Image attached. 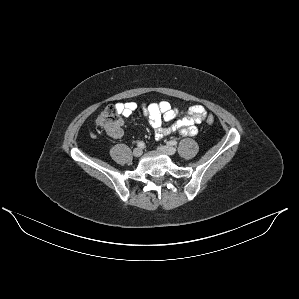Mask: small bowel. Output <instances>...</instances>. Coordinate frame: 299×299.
Returning <instances> with one entry per match:
<instances>
[{
    "label": "small bowel",
    "mask_w": 299,
    "mask_h": 299,
    "mask_svg": "<svg viewBox=\"0 0 299 299\" xmlns=\"http://www.w3.org/2000/svg\"><path fill=\"white\" fill-rule=\"evenodd\" d=\"M114 108L123 117H130L132 114L141 108L144 115L147 117L149 124L153 128L156 139H162L171 133L178 132L183 136H193L197 133L196 125L204 121L206 110L201 105H194L187 110H179L171 106L168 101H160L158 103L139 105L134 101L117 102ZM177 117V120H175ZM170 126H163L164 121H173ZM115 139L123 136V131L120 130L116 134H111Z\"/></svg>",
    "instance_id": "1"
}]
</instances>
